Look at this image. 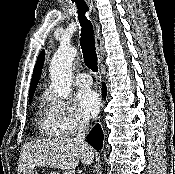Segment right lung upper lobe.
Wrapping results in <instances>:
<instances>
[{
	"label": "right lung upper lobe",
	"mask_w": 175,
	"mask_h": 174,
	"mask_svg": "<svg viewBox=\"0 0 175 174\" xmlns=\"http://www.w3.org/2000/svg\"><path fill=\"white\" fill-rule=\"evenodd\" d=\"M44 56H45V53L43 50L42 53L39 55L36 65L34 67L33 76L30 84V98H32V95L35 92L38 81L40 79V75H41L43 63H44Z\"/></svg>",
	"instance_id": "1"
}]
</instances>
